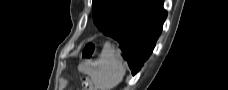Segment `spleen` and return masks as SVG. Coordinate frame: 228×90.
<instances>
[{
    "label": "spleen",
    "mask_w": 228,
    "mask_h": 90,
    "mask_svg": "<svg viewBox=\"0 0 228 90\" xmlns=\"http://www.w3.org/2000/svg\"><path fill=\"white\" fill-rule=\"evenodd\" d=\"M83 72L88 73L99 90H112L126 73L119 50L105 44L99 58L86 62Z\"/></svg>",
    "instance_id": "3e777b00"
}]
</instances>
